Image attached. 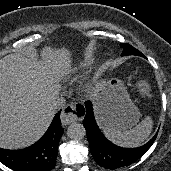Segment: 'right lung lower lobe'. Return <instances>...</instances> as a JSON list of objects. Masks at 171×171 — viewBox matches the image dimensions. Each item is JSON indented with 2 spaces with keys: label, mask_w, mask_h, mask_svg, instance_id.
I'll list each match as a JSON object with an SVG mask.
<instances>
[{
  "label": "right lung lower lobe",
  "mask_w": 171,
  "mask_h": 171,
  "mask_svg": "<svg viewBox=\"0 0 171 171\" xmlns=\"http://www.w3.org/2000/svg\"><path fill=\"white\" fill-rule=\"evenodd\" d=\"M57 113L43 137L23 150L0 148V162L15 171H50L56 164L57 147L64 129Z\"/></svg>",
  "instance_id": "98d812e1"
}]
</instances>
